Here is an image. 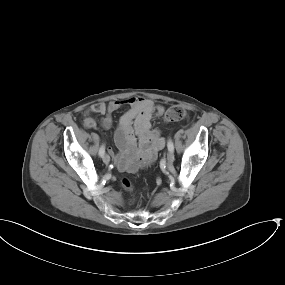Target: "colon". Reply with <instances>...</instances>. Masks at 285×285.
<instances>
[{"mask_svg":"<svg viewBox=\"0 0 285 285\" xmlns=\"http://www.w3.org/2000/svg\"><path fill=\"white\" fill-rule=\"evenodd\" d=\"M186 114V110L181 105H173L164 114V119L166 121H177L182 119ZM121 186L126 189L130 190L132 188V183L127 177H123L120 179Z\"/></svg>","mask_w":285,"mask_h":285,"instance_id":"obj_1","label":"colon"}]
</instances>
